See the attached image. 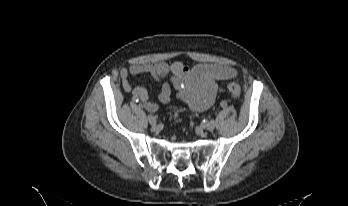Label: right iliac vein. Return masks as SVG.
<instances>
[{"instance_id":"63e3f726","label":"right iliac vein","mask_w":348,"mask_h":206,"mask_svg":"<svg viewBox=\"0 0 348 206\" xmlns=\"http://www.w3.org/2000/svg\"><path fill=\"white\" fill-rule=\"evenodd\" d=\"M148 121L152 126H156L157 125V121L155 119V117L153 115H148Z\"/></svg>"}]
</instances>
